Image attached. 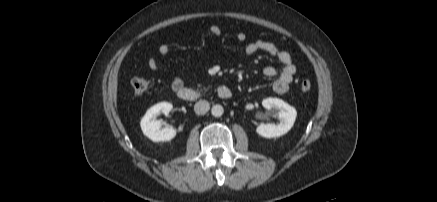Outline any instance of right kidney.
<instances>
[{"instance_id":"obj_1","label":"right kidney","mask_w":437,"mask_h":202,"mask_svg":"<svg viewBox=\"0 0 437 202\" xmlns=\"http://www.w3.org/2000/svg\"><path fill=\"white\" fill-rule=\"evenodd\" d=\"M172 108L171 103L160 102L148 109L140 122L143 134L153 142L172 140L176 136V130L172 126L161 129V121L157 120L161 113L167 115Z\"/></svg>"}]
</instances>
